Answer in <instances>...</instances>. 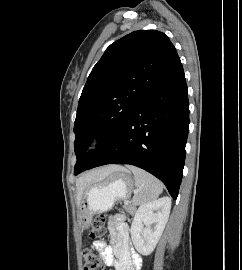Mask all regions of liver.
I'll use <instances>...</instances> for the list:
<instances>
[{
  "mask_svg": "<svg viewBox=\"0 0 242 270\" xmlns=\"http://www.w3.org/2000/svg\"><path fill=\"white\" fill-rule=\"evenodd\" d=\"M120 169H122V167L110 165V166L96 169V170L83 174L81 177H79L76 180L77 201L79 202L81 200L86 187L104 180L110 174Z\"/></svg>",
  "mask_w": 242,
  "mask_h": 270,
  "instance_id": "6515ba94",
  "label": "liver"
}]
</instances>
